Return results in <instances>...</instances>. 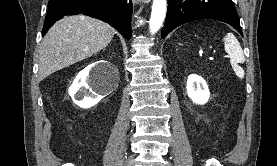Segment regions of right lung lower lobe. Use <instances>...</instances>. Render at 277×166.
Segmentation results:
<instances>
[{"label": "right lung lower lobe", "mask_w": 277, "mask_h": 166, "mask_svg": "<svg viewBox=\"0 0 277 166\" xmlns=\"http://www.w3.org/2000/svg\"><path fill=\"white\" fill-rule=\"evenodd\" d=\"M80 13L109 23L126 39L131 38V0H49L42 35L62 17Z\"/></svg>", "instance_id": "1"}]
</instances>
